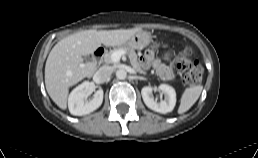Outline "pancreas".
Returning a JSON list of instances; mask_svg holds the SVG:
<instances>
[{
  "instance_id": "1",
  "label": "pancreas",
  "mask_w": 258,
  "mask_h": 158,
  "mask_svg": "<svg viewBox=\"0 0 258 158\" xmlns=\"http://www.w3.org/2000/svg\"><path fill=\"white\" fill-rule=\"evenodd\" d=\"M119 50H124L125 53L128 54V57L130 59V63L133 66L134 69H136L139 73H143L145 74V72L143 71V69L141 68L138 60H137V54L135 52V50L133 48L130 47H116L113 50L109 51L108 53H106L104 55V62L106 64H115V62L112 61L111 59V55Z\"/></svg>"
}]
</instances>
